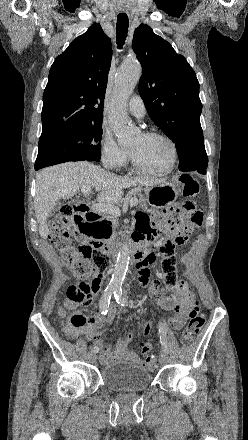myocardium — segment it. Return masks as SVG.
Returning a JSON list of instances; mask_svg holds the SVG:
<instances>
[{
    "label": "myocardium",
    "mask_w": 248,
    "mask_h": 440,
    "mask_svg": "<svg viewBox=\"0 0 248 440\" xmlns=\"http://www.w3.org/2000/svg\"><path fill=\"white\" fill-rule=\"evenodd\" d=\"M143 135L145 137L161 138L164 141H166L171 149V161H170L168 167L162 171H158V172L148 171V170L143 169L137 163L135 156H134V153L131 150L130 151V159H131L132 169L136 173L143 175V176H147V177H163V176L170 174L173 171V169L177 163V160H178V149H177V146H176L174 140L171 137H169L167 134L160 132V131H156V130L146 131L143 133Z\"/></svg>",
    "instance_id": "1"
}]
</instances>
